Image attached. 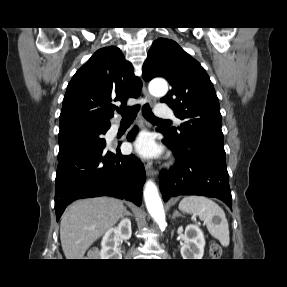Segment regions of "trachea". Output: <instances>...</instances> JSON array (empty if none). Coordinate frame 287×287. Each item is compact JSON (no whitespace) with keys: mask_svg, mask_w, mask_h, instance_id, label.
Listing matches in <instances>:
<instances>
[{"mask_svg":"<svg viewBox=\"0 0 287 287\" xmlns=\"http://www.w3.org/2000/svg\"><path fill=\"white\" fill-rule=\"evenodd\" d=\"M139 108H140L139 105H135L131 108L118 110V112L122 115V120L132 121L135 119ZM142 114L146 120H148L152 123L170 122V120H163V119H159V118L155 117L153 112H152V109L150 108L148 103L143 105Z\"/></svg>","mask_w":287,"mask_h":287,"instance_id":"trachea-1","label":"trachea"}]
</instances>
